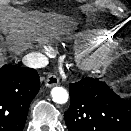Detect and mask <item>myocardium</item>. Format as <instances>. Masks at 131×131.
I'll use <instances>...</instances> for the list:
<instances>
[{
  "mask_svg": "<svg viewBox=\"0 0 131 131\" xmlns=\"http://www.w3.org/2000/svg\"><path fill=\"white\" fill-rule=\"evenodd\" d=\"M120 47L116 40L94 43L76 51L75 61L79 68L90 71L102 66Z\"/></svg>",
  "mask_w": 131,
  "mask_h": 131,
  "instance_id": "1",
  "label": "myocardium"
}]
</instances>
